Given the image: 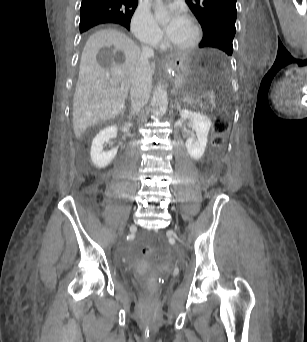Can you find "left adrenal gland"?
<instances>
[{"label": "left adrenal gland", "mask_w": 307, "mask_h": 342, "mask_svg": "<svg viewBox=\"0 0 307 342\" xmlns=\"http://www.w3.org/2000/svg\"><path fill=\"white\" fill-rule=\"evenodd\" d=\"M174 102H175V106H180L178 100H174Z\"/></svg>", "instance_id": "left-adrenal-gland-1"}]
</instances>
